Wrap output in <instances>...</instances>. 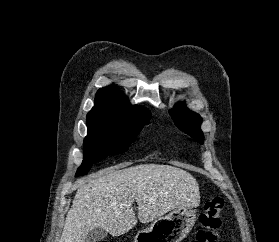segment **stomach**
I'll use <instances>...</instances> for the list:
<instances>
[{
    "instance_id": "stomach-1",
    "label": "stomach",
    "mask_w": 279,
    "mask_h": 242,
    "mask_svg": "<svg viewBox=\"0 0 279 242\" xmlns=\"http://www.w3.org/2000/svg\"><path fill=\"white\" fill-rule=\"evenodd\" d=\"M196 222V211L190 207H177L168 215L153 221L139 231L135 242H181Z\"/></svg>"
}]
</instances>
